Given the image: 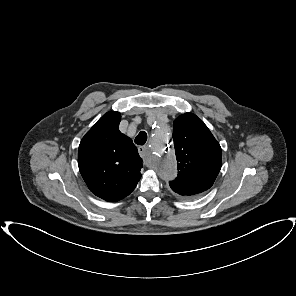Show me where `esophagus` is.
Masks as SVG:
<instances>
[{"instance_id":"esophagus-1","label":"esophagus","mask_w":296,"mask_h":296,"mask_svg":"<svg viewBox=\"0 0 296 296\" xmlns=\"http://www.w3.org/2000/svg\"><path fill=\"white\" fill-rule=\"evenodd\" d=\"M147 149H148L147 146H139L138 147L139 155L141 157H144L146 155V153H147Z\"/></svg>"}]
</instances>
